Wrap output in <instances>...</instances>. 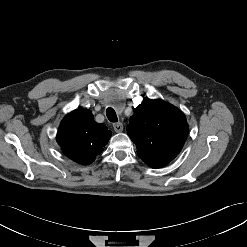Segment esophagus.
Listing matches in <instances>:
<instances>
[{
  "instance_id": "1",
  "label": "esophagus",
  "mask_w": 247,
  "mask_h": 247,
  "mask_svg": "<svg viewBox=\"0 0 247 247\" xmlns=\"http://www.w3.org/2000/svg\"><path fill=\"white\" fill-rule=\"evenodd\" d=\"M113 128L115 132L119 133L123 131V124L121 122H117L113 124Z\"/></svg>"
}]
</instances>
